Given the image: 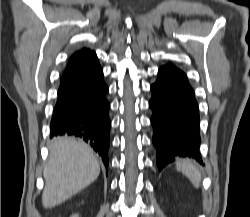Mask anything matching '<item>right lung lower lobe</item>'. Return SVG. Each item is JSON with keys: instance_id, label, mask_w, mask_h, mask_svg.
Here are the masks:
<instances>
[{"instance_id": "right-lung-lower-lobe-1", "label": "right lung lower lobe", "mask_w": 250, "mask_h": 217, "mask_svg": "<svg viewBox=\"0 0 250 217\" xmlns=\"http://www.w3.org/2000/svg\"><path fill=\"white\" fill-rule=\"evenodd\" d=\"M107 92L96 54L64 72L50 123V137L72 135L82 138L99 154L108 169L111 122Z\"/></svg>"}]
</instances>
